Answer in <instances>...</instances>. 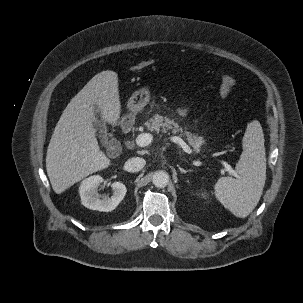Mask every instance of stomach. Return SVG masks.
Instances as JSON below:
<instances>
[{"mask_svg": "<svg viewBox=\"0 0 303 303\" xmlns=\"http://www.w3.org/2000/svg\"><path fill=\"white\" fill-rule=\"evenodd\" d=\"M150 101V90L147 86L135 91L128 101V108L137 113L142 110Z\"/></svg>", "mask_w": 303, "mask_h": 303, "instance_id": "obj_1", "label": "stomach"}]
</instances>
